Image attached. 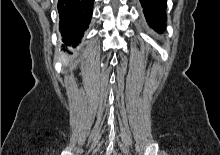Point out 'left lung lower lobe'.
Segmentation results:
<instances>
[{
  "instance_id": "obj_1",
  "label": "left lung lower lobe",
  "mask_w": 220,
  "mask_h": 155,
  "mask_svg": "<svg viewBox=\"0 0 220 155\" xmlns=\"http://www.w3.org/2000/svg\"><path fill=\"white\" fill-rule=\"evenodd\" d=\"M148 24L162 33L167 20L166 0H140Z\"/></svg>"
}]
</instances>
